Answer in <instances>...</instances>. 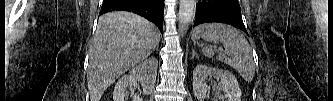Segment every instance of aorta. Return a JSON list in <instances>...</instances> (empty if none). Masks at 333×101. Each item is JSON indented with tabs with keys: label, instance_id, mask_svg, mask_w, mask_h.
<instances>
[{
	"label": "aorta",
	"instance_id": "obj_1",
	"mask_svg": "<svg viewBox=\"0 0 333 101\" xmlns=\"http://www.w3.org/2000/svg\"><path fill=\"white\" fill-rule=\"evenodd\" d=\"M196 7V0H180L179 6V32L184 36L193 19Z\"/></svg>",
	"mask_w": 333,
	"mask_h": 101
}]
</instances>
